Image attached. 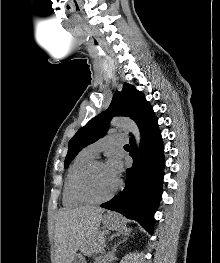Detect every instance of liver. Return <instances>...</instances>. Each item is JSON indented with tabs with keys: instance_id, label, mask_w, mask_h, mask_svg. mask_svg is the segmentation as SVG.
Wrapping results in <instances>:
<instances>
[{
	"instance_id": "6515ba94",
	"label": "liver",
	"mask_w": 220,
	"mask_h": 263,
	"mask_svg": "<svg viewBox=\"0 0 220 263\" xmlns=\"http://www.w3.org/2000/svg\"><path fill=\"white\" fill-rule=\"evenodd\" d=\"M104 211L95 206L63 208L58 211L54 229L56 263H71L79 248L97 232Z\"/></svg>"
}]
</instances>
